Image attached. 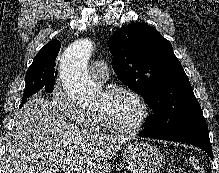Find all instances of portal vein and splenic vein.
I'll use <instances>...</instances> for the list:
<instances>
[{
    "instance_id": "18ae733b",
    "label": "portal vein and splenic vein",
    "mask_w": 219,
    "mask_h": 173,
    "mask_svg": "<svg viewBox=\"0 0 219 173\" xmlns=\"http://www.w3.org/2000/svg\"><path fill=\"white\" fill-rule=\"evenodd\" d=\"M58 170H54L53 172L55 173ZM65 173H73V169H67Z\"/></svg>"
}]
</instances>
